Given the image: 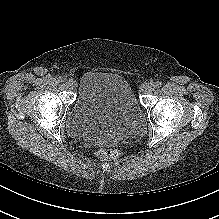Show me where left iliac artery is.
Returning a JSON list of instances; mask_svg holds the SVG:
<instances>
[{
	"label": "left iliac artery",
	"instance_id": "obj_1",
	"mask_svg": "<svg viewBox=\"0 0 219 219\" xmlns=\"http://www.w3.org/2000/svg\"><path fill=\"white\" fill-rule=\"evenodd\" d=\"M162 86V83L160 82V81H157L156 83H155V87L156 88H160Z\"/></svg>",
	"mask_w": 219,
	"mask_h": 219
}]
</instances>
